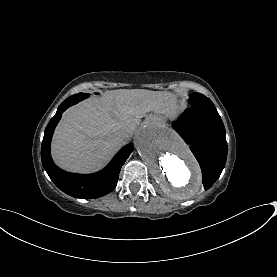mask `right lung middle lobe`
<instances>
[{
    "instance_id": "right-lung-middle-lobe-1",
    "label": "right lung middle lobe",
    "mask_w": 277,
    "mask_h": 277,
    "mask_svg": "<svg viewBox=\"0 0 277 277\" xmlns=\"http://www.w3.org/2000/svg\"><path fill=\"white\" fill-rule=\"evenodd\" d=\"M89 97V94L88 93H78V94H75L71 97H69L67 99V101H72V100H75V102L73 104H76L78 103L79 101L85 99V98H88Z\"/></svg>"
}]
</instances>
